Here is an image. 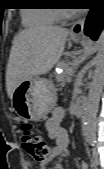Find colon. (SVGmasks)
Returning a JSON list of instances; mask_svg holds the SVG:
<instances>
[{
  "mask_svg": "<svg viewBox=\"0 0 104 169\" xmlns=\"http://www.w3.org/2000/svg\"><path fill=\"white\" fill-rule=\"evenodd\" d=\"M20 137L23 149L37 162L46 160L50 153V146L39 132L30 125L24 124L20 128Z\"/></svg>",
  "mask_w": 104,
  "mask_h": 169,
  "instance_id": "obj_1",
  "label": "colon"
}]
</instances>
